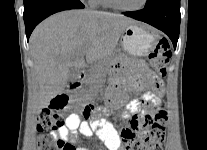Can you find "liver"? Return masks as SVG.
<instances>
[{
	"label": "liver",
	"instance_id": "liver-1",
	"mask_svg": "<svg viewBox=\"0 0 207 150\" xmlns=\"http://www.w3.org/2000/svg\"><path fill=\"white\" fill-rule=\"evenodd\" d=\"M134 23L122 15L93 10L62 11L41 22L30 37L33 112H41L64 90L71 69L82 70L111 56L125 28Z\"/></svg>",
	"mask_w": 207,
	"mask_h": 150
}]
</instances>
